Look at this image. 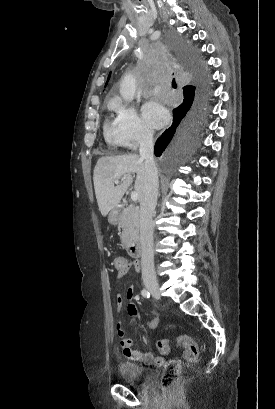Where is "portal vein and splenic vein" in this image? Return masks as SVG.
Masks as SVG:
<instances>
[{"label":"portal vein and splenic vein","mask_w":275,"mask_h":409,"mask_svg":"<svg viewBox=\"0 0 275 409\" xmlns=\"http://www.w3.org/2000/svg\"><path fill=\"white\" fill-rule=\"evenodd\" d=\"M125 178H127V176H122L121 180H125ZM114 182H116V184H117V182H119L118 178H115ZM131 198H132V200H137V198H138L137 190H132Z\"/></svg>","instance_id":"obj_1"}]
</instances>
